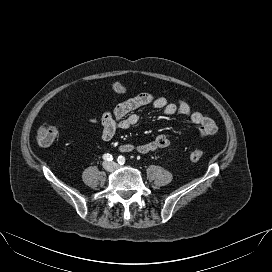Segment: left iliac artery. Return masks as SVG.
<instances>
[{
	"mask_svg": "<svg viewBox=\"0 0 272 272\" xmlns=\"http://www.w3.org/2000/svg\"><path fill=\"white\" fill-rule=\"evenodd\" d=\"M125 157L124 156H119L118 157V163L120 164V165H123L124 163H125Z\"/></svg>",
	"mask_w": 272,
	"mask_h": 272,
	"instance_id": "1",
	"label": "left iliac artery"
}]
</instances>
